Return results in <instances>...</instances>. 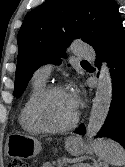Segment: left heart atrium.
Returning <instances> with one entry per match:
<instances>
[{"label": "left heart atrium", "instance_id": "left-heart-atrium-1", "mask_svg": "<svg viewBox=\"0 0 125 167\" xmlns=\"http://www.w3.org/2000/svg\"><path fill=\"white\" fill-rule=\"evenodd\" d=\"M69 97H70V100H71L72 104L76 108L77 104H78V97H77V95L74 92H71V93H69Z\"/></svg>", "mask_w": 125, "mask_h": 167}]
</instances>
